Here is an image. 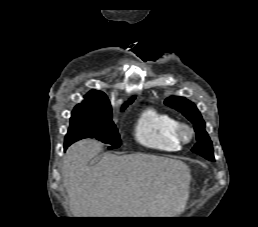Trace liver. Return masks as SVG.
<instances>
[{"label":"liver","mask_w":258,"mask_h":227,"mask_svg":"<svg viewBox=\"0 0 258 227\" xmlns=\"http://www.w3.org/2000/svg\"><path fill=\"white\" fill-rule=\"evenodd\" d=\"M101 144L84 139L66 151L63 185L74 217H171L183 212L189 195L188 166L148 154H104L89 161Z\"/></svg>","instance_id":"obj_1"}]
</instances>
